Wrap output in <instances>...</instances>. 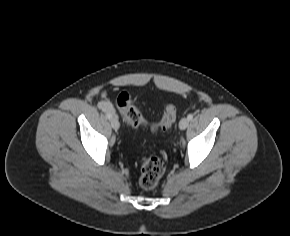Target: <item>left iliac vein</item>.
<instances>
[{"label":"left iliac vein","mask_w":290,"mask_h":236,"mask_svg":"<svg viewBox=\"0 0 290 236\" xmlns=\"http://www.w3.org/2000/svg\"><path fill=\"white\" fill-rule=\"evenodd\" d=\"M188 124H189V120H188V118H182V119L180 120V122H179V128H180L181 130H184V129L187 128Z\"/></svg>","instance_id":"obj_1"}]
</instances>
